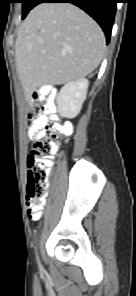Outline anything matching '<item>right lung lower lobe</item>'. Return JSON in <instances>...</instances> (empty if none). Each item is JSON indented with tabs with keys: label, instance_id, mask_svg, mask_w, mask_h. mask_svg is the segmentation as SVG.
Returning <instances> with one entry per match:
<instances>
[{
	"label": "right lung lower lobe",
	"instance_id": "1",
	"mask_svg": "<svg viewBox=\"0 0 136 296\" xmlns=\"http://www.w3.org/2000/svg\"><path fill=\"white\" fill-rule=\"evenodd\" d=\"M119 0H40L39 3H72L88 13L101 26L110 40L112 25Z\"/></svg>",
	"mask_w": 136,
	"mask_h": 296
}]
</instances>
